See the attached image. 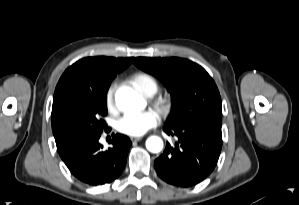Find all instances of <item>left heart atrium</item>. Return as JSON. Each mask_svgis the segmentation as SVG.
Segmentation results:
<instances>
[{
    "instance_id": "1",
    "label": "left heart atrium",
    "mask_w": 299,
    "mask_h": 205,
    "mask_svg": "<svg viewBox=\"0 0 299 205\" xmlns=\"http://www.w3.org/2000/svg\"><path fill=\"white\" fill-rule=\"evenodd\" d=\"M158 114L153 110H145L140 113L125 114L117 122L119 132L130 136H141L149 129L157 125Z\"/></svg>"
}]
</instances>
